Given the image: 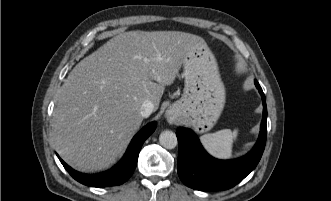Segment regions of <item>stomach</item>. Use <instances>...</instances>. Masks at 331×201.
Masks as SVG:
<instances>
[{
  "label": "stomach",
  "instance_id": "stomach-1",
  "mask_svg": "<svg viewBox=\"0 0 331 201\" xmlns=\"http://www.w3.org/2000/svg\"><path fill=\"white\" fill-rule=\"evenodd\" d=\"M185 86L170 112L202 134L213 128L225 104V87L207 44L196 45L183 60Z\"/></svg>",
  "mask_w": 331,
  "mask_h": 201
}]
</instances>
